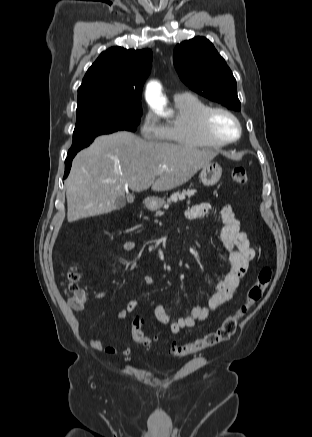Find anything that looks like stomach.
<instances>
[{
  "label": "stomach",
  "instance_id": "1",
  "mask_svg": "<svg viewBox=\"0 0 312 437\" xmlns=\"http://www.w3.org/2000/svg\"><path fill=\"white\" fill-rule=\"evenodd\" d=\"M222 175V168L218 163L210 162L202 167L200 172V180L205 186H213L217 184ZM163 204L160 198H152L147 203L150 210H157Z\"/></svg>",
  "mask_w": 312,
  "mask_h": 437
}]
</instances>
